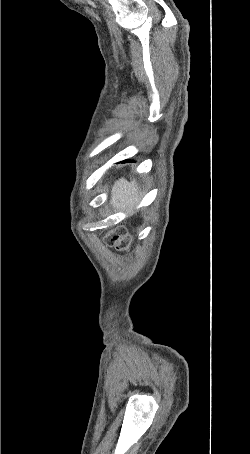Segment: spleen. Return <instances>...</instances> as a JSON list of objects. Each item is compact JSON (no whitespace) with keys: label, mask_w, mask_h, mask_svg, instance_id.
Wrapping results in <instances>:
<instances>
[{"label":"spleen","mask_w":250,"mask_h":454,"mask_svg":"<svg viewBox=\"0 0 250 454\" xmlns=\"http://www.w3.org/2000/svg\"><path fill=\"white\" fill-rule=\"evenodd\" d=\"M142 194L139 192L137 183L134 181L127 182L120 179L115 182L111 193V204L116 210L132 209Z\"/></svg>","instance_id":"spleen-1"}]
</instances>
